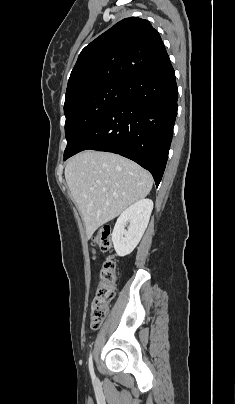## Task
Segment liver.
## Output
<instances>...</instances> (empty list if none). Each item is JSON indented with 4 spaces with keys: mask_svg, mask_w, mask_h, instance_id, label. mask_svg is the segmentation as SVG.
<instances>
[{
    "mask_svg": "<svg viewBox=\"0 0 235 404\" xmlns=\"http://www.w3.org/2000/svg\"><path fill=\"white\" fill-rule=\"evenodd\" d=\"M65 179L84 221L87 237L151 191V174L117 154L87 150L65 167Z\"/></svg>",
    "mask_w": 235,
    "mask_h": 404,
    "instance_id": "obj_1",
    "label": "liver"
}]
</instances>
